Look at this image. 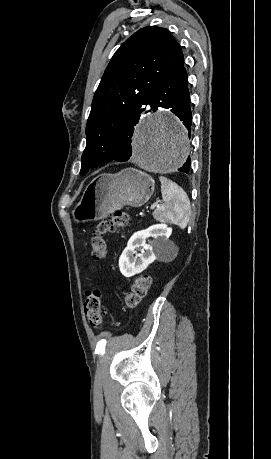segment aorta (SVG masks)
I'll return each instance as SVG.
<instances>
[{"label":"aorta","instance_id":"762f6f07","mask_svg":"<svg viewBox=\"0 0 271 459\" xmlns=\"http://www.w3.org/2000/svg\"><path fill=\"white\" fill-rule=\"evenodd\" d=\"M190 154L186 129L166 113L146 117L133 138V160L144 170L169 173L179 168Z\"/></svg>","mask_w":271,"mask_h":459}]
</instances>
